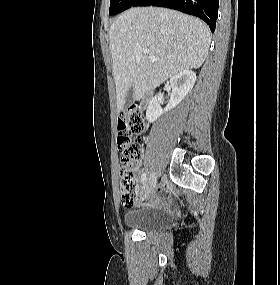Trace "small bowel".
Returning a JSON list of instances; mask_svg holds the SVG:
<instances>
[{"instance_id": "c3829d8e", "label": "small bowel", "mask_w": 280, "mask_h": 285, "mask_svg": "<svg viewBox=\"0 0 280 285\" xmlns=\"http://www.w3.org/2000/svg\"><path fill=\"white\" fill-rule=\"evenodd\" d=\"M163 190H159L157 193H153L150 195V201L154 205H162L165 204L166 201L162 198Z\"/></svg>"}]
</instances>
